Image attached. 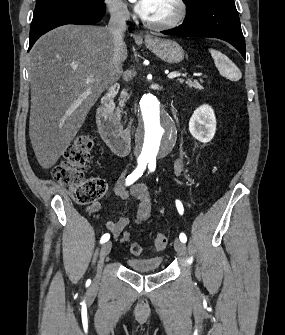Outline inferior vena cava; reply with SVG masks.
<instances>
[{"mask_svg":"<svg viewBox=\"0 0 285 335\" xmlns=\"http://www.w3.org/2000/svg\"><path fill=\"white\" fill-rule=\"evenodd\" d=\"M107 6L110 12L108 30L112 32L114 38L115 66H119L121 64L120 52L124 46L123 38L126 22L129 20L130 14L122 0H109Z\"/></svg>","mask_w":285,"mask_h":335,"instance_id":"obj_1","label":"inferior vena cava"}]
</instances>
